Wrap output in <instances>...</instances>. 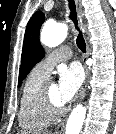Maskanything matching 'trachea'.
Here are the masks:
<instances>
[{
	"label": "trachea",
	"mask_w": 116,
	"mask_h": 134,
	"mask_svg": "<svg viewBox=\"0 0 116 134\" xmlns=\"http://www.w3.org/2000/svg\"><path fill=\"white\" fill-rule=\"evenodd\" d=\"M68 6H69V9H70L69 18L74 23L75 29L78 31L76 44H77L78 48L83 53H85L86 52V43H85L84 37L82 35V32L78 28V20H77L75 1L74 0H69L68 1Z\"/></svg>",
	"instance_id": "obj_1"
}]
</instances>
